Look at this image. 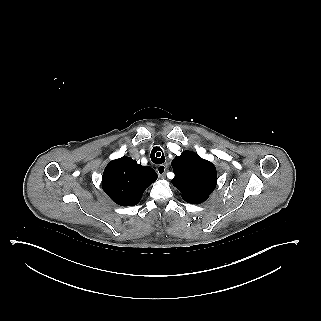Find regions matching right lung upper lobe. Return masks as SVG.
Instances as JSON below:
<instances>
[{"label":"right lung upper lobe","instance_id":"cb5924a9","mask_svg":"<svg viewBox=\"0 0 321 321\" xmlns=\"http://www.w3.org/2000/svg\"><path fill=\"white\" fill-rule=\"evenodd\" d=\"M157 179L151 167H143L130 157L111 161L102 177V188L106 194L121 206L139 203L145 189Z\"/></svg>","mask_w":321,"mask_h":321}]
</instances>
